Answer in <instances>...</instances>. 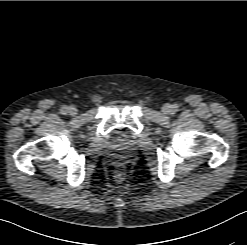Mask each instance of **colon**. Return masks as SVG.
<instances>
[{
  "label": "colon",
  "instance_id": "colon-1",
  "mask_svg": "<svg viewBox=\"0 0 247 245\" xmlns=\"http://www.w3.org/2000/svg\"><path fill=\"white\" fill-rule=\"evenodd\" d=\"M122 176V173H119V177H121Z\"/></svg>",
  "mask_w": 247,
  "mask_h": 245
}]
</instances>
